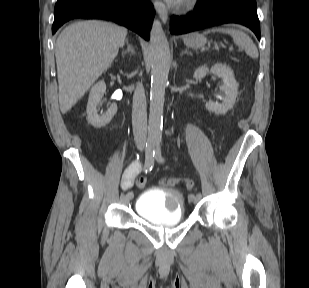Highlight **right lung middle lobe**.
Returning a JSON list of instances; mask_svg holds the SVG:
<instances>
[{
	"mask_svg": "<svg viewBox=\"0 0 309 288\" xmlns=\"http://www.w3.org/2000/svg\"><path fill=\"white\" fill-rule=\"evenodd\" d=\"M64 1H66V0H58L56 4H61Z\"/></svg>",
	"mask_w": 309,
	"mask_h": 288,
	"instance_id": "dd1d6c3e",
	"label": "right lung middle lobe"
}]
</instances>
